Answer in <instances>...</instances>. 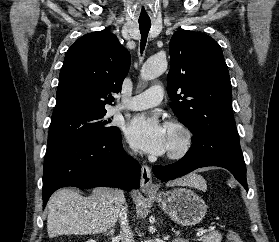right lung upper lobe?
Masks as SVG:
<instances>
[{"label":"right lung upper lobe","instance_id":"obj_1","mask_svg":"<svg viewBox=\"0 0 279 242\" xmlns=\"http://www.w3.org/2000/svg\"><path fill=\"white\" fill-rule=\"evenodd\" d=\"M130 54L108 30L86 34L67 51L59 75L53 114L78 109L105 110L121 91Z\"/></svg>","mask_w":279,"mask_h":242}]
</instances>
